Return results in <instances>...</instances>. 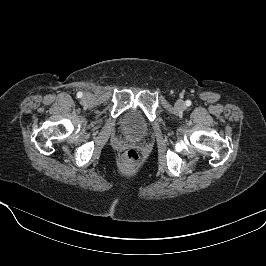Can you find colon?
<instances>
[{
  "label": "colon",
  "instance_id": "5ec220e1",
  "mask_svg": "<svg viewBox=\"0 0 266 266\" xmlns=\"http://www.w3.org/2000/svg\"><path fill=\"white\" fill-rule=\"evenodd\" d=\"M123 159L127 164L135 165L139 162L140 156L136 150L129 149L125 152Z\"/></svg>",
  "mask_w": 266,
  "mask_h": 266
}]
</instances>
